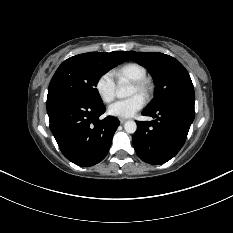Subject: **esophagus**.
<instances>
[{
  "label": "esophagus",
  "instance_id": "obj_1",
  "mask_svg": "<svg viewBox=\"0 0 233 233\" xmlns=\"http://www.w3.org/2000/svg\"><path fill=\"white\" fill-rule=\"evenodd\" d=\"M126 121H127V119H125V118H119V122H120L121 124L125 123Z\"/></svg>",
  "mask_w": 233,
  "mask_h": 233
}]
</instances>
